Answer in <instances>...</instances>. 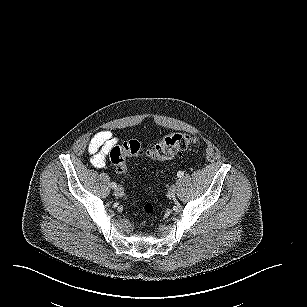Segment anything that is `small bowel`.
Here are the masks:
<instances>
[{
  "instance_id": "obj_1",
  "label": "small bowel",
  "mask_w": 307,
  "mask_h": 307,
  "mask_svg": "<svg viewBox=\"0 0 307 307\" xmlns=\"http://www.w3.org/2000/svg\"><path fill=\"white\" fill-rule=\"evenodd\" d=\"M118 140L109 130H103L95 134L88 143L90 163L95 168H102L106 163V156Z\"/></svg>"
}]
</instances>
